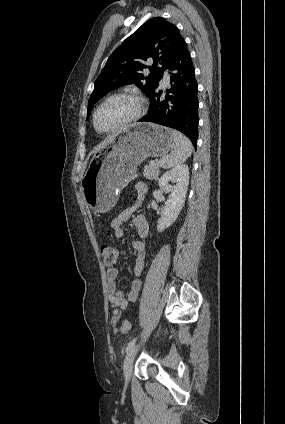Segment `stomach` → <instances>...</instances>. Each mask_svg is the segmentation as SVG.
Wrapping results in <instances>:
<instances>
[{
  "label": "stomach",
  "instance_id": "0dacf381",
  "mask_svg": "<svg viewBox=\"0 0 285 424\" xmlns=\"http://www.w3.org/2000/svg\"><path fill=\"white\" fill-rule=\"evenodd\" d=\"M173 131L149 123H137L99 150L82 180L86 204L105 213L116 204L119 193L136 177L137 167L147 157L165 156L174 147Z\"/></svg>",
  "mask_w": 285,
  "mask_h": 424
}]
</instances>
